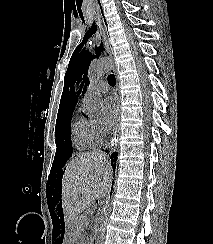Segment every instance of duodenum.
I'll list each match as a JSON object with an SVG mask.
<instances>
[{
  "label": "duodenum",
  "mask_w": 213,
  "mask_h": 244,
  "mask_svg": "<svg viewBox=\"0 0 213 244\" xmlns=\"http://www.w3.org/2000/svg\"><path fill=\"white\" fill-rule=\"evenodd\" d=\"M92 244H99V237H98V235H95V236L92 238Z\"/></svg>",
  "instance_id": "duodenum-1"
}]
</instances>
